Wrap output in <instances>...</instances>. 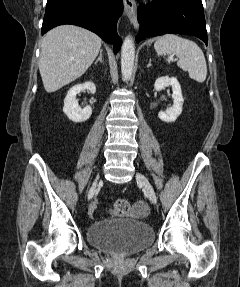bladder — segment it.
Returning a JSON list of instances; mask_svg holds the SVG:
<instances>
[{
  "label": "bladder",
  "instance_id": "31cf9c89",
  "mask_svg": "<svg viewBox=\"0 0 240 287\" xmlns=\"http://www.w3.org/2000/svg\"><path fill=\"white\" fill-rule=\"evenodd\" d=\"M90 244L111 253L134 254L154 240V231L146 223L132 219H113L93 224L87 231Z\"/></svg>",
  "mask_w": 240,
  "mask_h": 287
}]
</instances>
